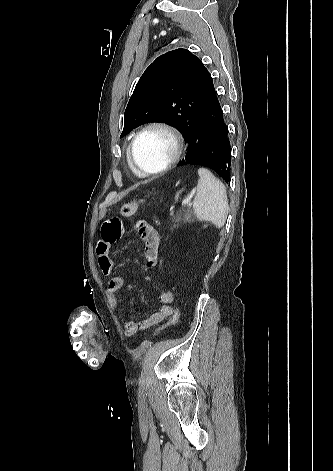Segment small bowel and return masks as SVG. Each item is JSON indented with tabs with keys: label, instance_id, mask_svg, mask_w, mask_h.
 Returning <instances> with one entry per match:
<instances>
[{
	"label": "small bowel",
	"instance_id": "c3829d8e",
	"mask_svg": "<svg viewBox=\"0 0 333 471\" xmlns=\"http://www.w3.org/2000/svg\"><path fill=\"white\" fill-rule=\"evenodd\" d=\"M135 229L143 242V252L146 265L154 267L157 265L159 257L160 236L156 229L145 221L136 224ZM124 232L123 222L119 217L113 216L106 219L102 225V237L97 244L98 264L104 275H110L114 268V261L111 257L112 245L120 239ZM124 279L121 276H114L106 287V296L111 306L118 304V291L122 288ZM161 303L157 311L150 314L141 321H126L124 323V333L131 337L137 332L145 331L150 327L160 323L173 314L171 304L174 302L172 291L164 290L159 295Z\"/></svg>",
	"mask_w": 333,
	"mask_h": 471
}]
</instances>
